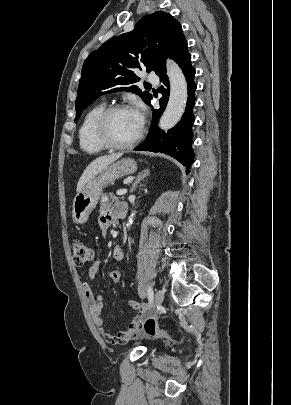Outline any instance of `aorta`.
I'll use <instances>...</instances> for the list:
<instances>
[{
	"label": "aorta",
	"instance_id": "obj_1",
	"mask_svg": "<svg viewBox=\"0 0 291 405\" xmlns=\"http://www.w3.org/2000/svg\"><path fill=\"white\" fill-rule=\"evenodd\" d=\"M167 74L170 81V95L168 104L159 121L162 130L173 128L181 119L187 102V83L181 68L173 61L166 62ZM135 212L129 217L128 224L133 223Z\"/></svg>",
	"mask_w": 291,
	"mask_h": 405
}]
</instances>
